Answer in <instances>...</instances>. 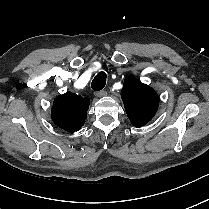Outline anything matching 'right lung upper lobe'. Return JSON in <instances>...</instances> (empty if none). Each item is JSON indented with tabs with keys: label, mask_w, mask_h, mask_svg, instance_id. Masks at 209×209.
<instances>
[{
	"label": "right lung upper lobe",
	"mask_w": 209,
	"mask_h": 209,
	"mask_svg": "<svg viewBox=\"0 0 209 209\" xmlns=\"http://www.w3.org/2000/svg\"><path fill=\"white\" fill-rule=\"evenodd\" d=\"M89 98L66 92L57 96L51 109L53 122L67 132L79 130L87 118Z\"/></svg>",
	"instance_id": "1"
}]
</instances>
